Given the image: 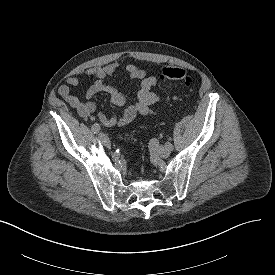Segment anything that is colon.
<instances>
[{
    "label": "colon",
    "mask_w": 275,
    "mask_h": 275,
    "mask_svg": "<svg viewBox=\"0 0 275 275\" xmlns=\"http://www.w3.org/2000/svg\"><path fill=\"white\" fill-rule=\"evenodd\" d=\"M161 78L169 83H180L185 86L193 82V78L188 71L182 67L169 66L162 70Z\"/></svg>",
    "instance_id": "colon-1"
}]
</instances>
